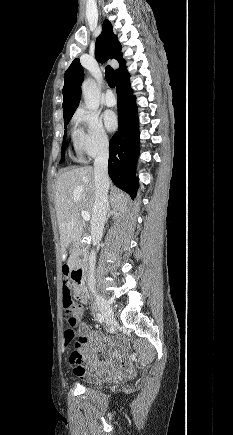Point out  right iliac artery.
<instances>
[{"label": "right iliac artery", "mask_w": 233, "mask_h": 435, "mask_svg": "<svg viewBox=\"0 0 233 435\" xmlns=\"http://www.w3.org/2000/svg\"><path fill=\"white\" fill-rule=\"evenodd\" d=\"M96 317H97V320L99 321V322H104V317H103V315H101L100 313H96Z\"/></svg>", "instance_id": "82829eb1"}]
</instances>
